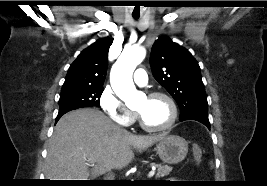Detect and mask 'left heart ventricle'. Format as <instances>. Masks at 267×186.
Segmentation results:
<instances>
[{
  "label": "left heart ventricle",
  "instance_id": "left-heart-ventricle-1",
  "mask_svg": "<svg viewBox=\"0 0 267 186\" xmlns=\"http://www.w3.org/2000/svg\"><path fill=\"white\" fill-rule=\"evenodd\" d=\"M137 111L144 122L151 127L164 125L170 117V106L164 98L144 97L137 105Z\"/></svg>",
  "mask_w": 267,
  "mask_h": 186
}]
</instances>
